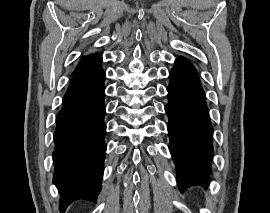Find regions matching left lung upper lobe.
<instances>
[{
  "label": "left lung upper lobe",
  "instance_id": "5c2ea615",
  "mask_svg": "<svg viewBox=\"0 0 270 213\" xmlns=\"http://www.w3.org/2000/svg\"><path fill=\"white\" fill-rule=\"evenodd\" d=\"M175 64H190V61L186 58L180 57L176 59Z\"/></svg>",
  "mask_w": 270,
  "mask_h": 213
}]
</instances>
